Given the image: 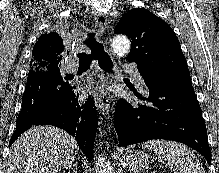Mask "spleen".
<instances>
[{
    "mask_svg": "<svg viewBox=\"0 0 219 173\" xmlns=\"http://www.w3.org/2000/svg\"><path fill=\"white\" fill-rule=\"evenodd\" d=\"M142 148L152 150L174 173H205L194 153L178 142L149 140L142 144Z\"/></svg>",
    "mask_w": 219,
    "mask_h": 173,
    "instance_id": "obj_1",
    "label": "spleen"
}]
</instances>
